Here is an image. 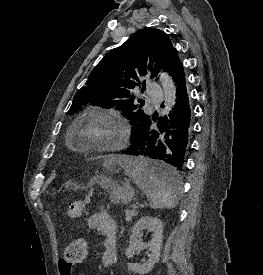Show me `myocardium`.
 Returning a JSON list of instances; mask_svg holds the SVG:
<instances>
[{
  "label": "myocardium",
  "mask_w": 263,
  "mask_h": 275,
  "mask_svg": "<svg viewBox=\"0 0 263 275\" xmlns=\"http://www.w3.org/2000/svg\"><path fill=\"white\" fill-rule=\"evenodd\" d=\"M94 125L104 127L102 134L92 133ZM79 143L89 150H112L118 148L124 139L121 123L109 112L96 110L82 119L76 132Z\"/></svg>",
  "instance_id": "1"
}]
</instances>
